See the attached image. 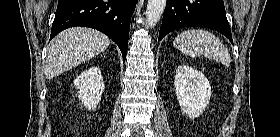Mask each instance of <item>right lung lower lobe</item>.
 I'll list each match as a JSON object with an SVG mask.
<instances>
[{"mask_svg": "<svg viewBox=\"0 0 280 137\" xmlns=\"http://www.w3.org/2000/svg\"><path fill=\"white\" fill-rule=\"evenodd\" d=\"M138 0H58L50 39L73 26L97 29L108 35L126 59L130 21Z\"/></svg>", "mask_w": 280, "mask_h": 137, "instance_id": "1", "label": "right lung lower lobe"}]
</instances>
